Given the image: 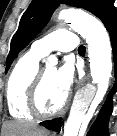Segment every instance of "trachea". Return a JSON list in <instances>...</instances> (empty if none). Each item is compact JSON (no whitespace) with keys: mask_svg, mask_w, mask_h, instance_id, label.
Listing matches in <instances>:
<instances>
[{"mask_svg":"<svg viewBox=\"0 0 117 136\" xmlns=\"http://www.w3.org/2000/svg\"><path fill=\"white\" fill-rule=\"evenodd\" d=\"M86 48L85 46L81 45L79 48H78V52H85Z\"/></svg>","mask_w":117,"mask_h":136,"instance_id":"trachea-1","label":"trachea"}]
</instances>
